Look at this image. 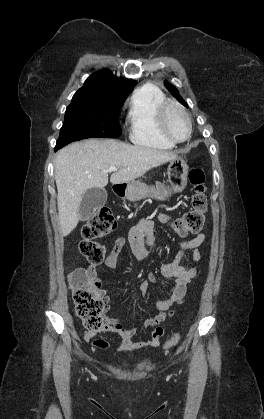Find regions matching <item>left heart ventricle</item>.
Returning <instances> with one entry per match:
<instances>
[{
    "mask_svg": "<svg viewBox=\"0 0 264 419\" xmlns=\"http://www.w3.org/2000/svg\"><path fill=\"white\" fill-rule=\"evenodd\" d=\"M166 124L168 131L177 139H184L188 134V124L184 116L176 109H170Z\"/></svg>",
    "mask_w": 264,
    "mask_h": 419,
    "instance_id": "1",
    "label": "left heart ventricle"
}]
</instances>
